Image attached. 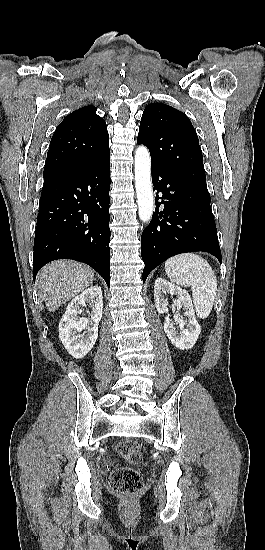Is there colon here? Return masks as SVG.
I'll use <instances>...</instances> for the list:
<instances>
[{
	"mask_svg": "<svg viewBox=\"0 0 265 550\" xmlns=\"http://www.w3.org/2000/svg\"><path fill=\"white\" fill-rule=\"evenodd\" d=\"M120 457L132 464L142 462V454L139 445L134 441L121 442L116 446ZM143 480L138 471L128 467L115 469L109 477L110 489L123 496H132L140 491Z\"/></svg>",
	"mask_w": 265,
	"mask_h": 550,
	"instance_id": "colon-1",
	"label": "colon"
}]
</instances>
